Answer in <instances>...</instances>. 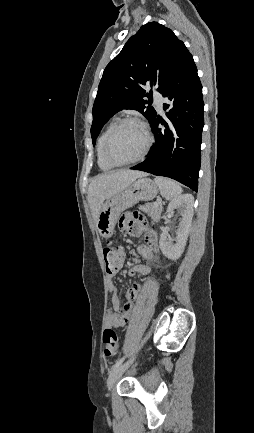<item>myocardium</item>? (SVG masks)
<instances>
[{"instance_id": "obj_1", "label": "myocardium", "mask_w": 254, "mask_h": 433, "mask_svg": "<svg viewBox=\"0 0 254 433\" xmlns=\"http://www.w3.org/2000/svg\"><path fill=\"white\" fill-rule=\"evenodd\" d=\"M126 124L138 125L145 134L146 144H145L142 152L136 158L129 160V161H125V162H118V161H116L110 157V155L108 153V148H109V145H110V142H111L113 136L116 134V132L121 127H123ZM152 144H153V137H152L148 127L145 125L144 122H142L141 120H139L137 118H132V117L124 118V119L118 121L117 124L108 133V135L104 141V144H103L102 155H103L104 160L106 162H108L110 165H112L113 167L128 166V165L135 164V163L143 160L146 157V155L148 154Z\"/></svg>"}]
</instances>
